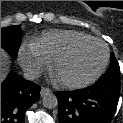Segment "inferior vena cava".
I'll return each instance as SVG.
<instances>
[{
  "label": "inferior vena cava",
  "instance_id": "inferior-vena-cava-1",
  "mask_svg": "<svg viewBox=\"0 0 123 123\" xmlns=\"http://www.w3.org/2000/svg\"><path fill=\"white\" fill-rule=\"evenodd\" d=\"M23 76L27 80H34L41 76V71L37 68H25L23 70Z\"/></svg>",
  "mask_w": 123,
  "mask_h": 123
}]
</instances>
